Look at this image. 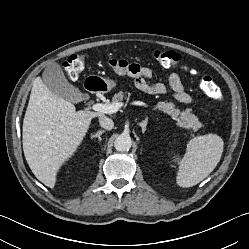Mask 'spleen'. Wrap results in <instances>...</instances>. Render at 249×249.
<instances>
[{"label": "spleen", "instance_id": "1", "mask_svg": "<svg viewBox=\"0 0 249 249\" xmlns=\"http://www.w3.org/2000/svg\"><path fill=\"white\" fill-rule=\"evenodd\" d=\"M223 146V139L216 134L210 133L191 139L185 155L179 161L177 184L187 188L204 180L219 163Z\"/></svg>", "mask_w": 249, "mask_h": 249}]
</instances>
